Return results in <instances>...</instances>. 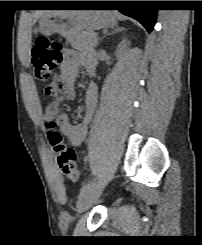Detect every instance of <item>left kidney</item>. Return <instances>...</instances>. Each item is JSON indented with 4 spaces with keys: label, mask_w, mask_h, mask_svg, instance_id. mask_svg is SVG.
Returning <instances> with one entry per match:
<instances>
[{
    "label": "left kidney",
    "mask_w": 202,
    "mask_h": 245,
    "mask_svg": "<svg viewBox=\"0 0 202 245\" xmlns=\"http://www.w3.org/2000/svg\"><path fill=\"white\" fill-rule=\"evenodd\" d=\"M130 43L128 42L127 39L122 40V42L118 45L117 50H116V55L119 56L121 55L127 48V46Z\"/></svg>",
    "instance_id": "left-kidney-1"
}]
</instances>
